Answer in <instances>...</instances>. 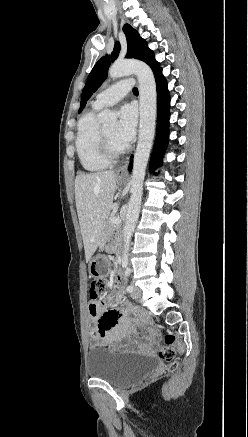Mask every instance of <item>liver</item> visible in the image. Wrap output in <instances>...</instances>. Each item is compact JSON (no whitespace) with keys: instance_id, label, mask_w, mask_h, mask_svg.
<instances>
[{"instance_id":"1","label":"liver","mask_w":248,"mask_h":437,"mask_svg":"<svg viewBox=\"0 0 248 437\" xmlns=\"http://www.w3.org/2000/svg\"><path fill=\"white\" fill-rule=\"evenodd\" d=\"M116 190L113 170L83 173L75 179V201L86 261L101 244Z\"/></svg>"}]
</instances>
